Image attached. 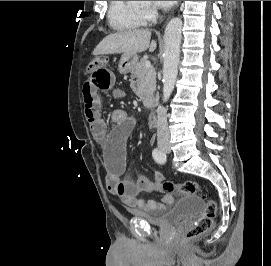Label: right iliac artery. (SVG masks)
Returning <instances> with one entry per match:
<instances>
[{
  "label": "right iliac artery",
  "instance_id": "obj_1",
  "mask_svg": "<svg viewBox=\"0 0 271 266\" xmlns=\"http://www.w3.org/2000/svg\"><path fill=\"white\" fill-rule=\"evenodd\" d=\"M152 155L157 163L164 164L166 162V155L160 149L158 148L154 149Z\"/></svg>",
  "mask_w": 271,
  "mask_h": 266
}]
</instances>
